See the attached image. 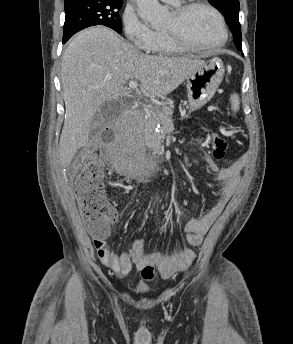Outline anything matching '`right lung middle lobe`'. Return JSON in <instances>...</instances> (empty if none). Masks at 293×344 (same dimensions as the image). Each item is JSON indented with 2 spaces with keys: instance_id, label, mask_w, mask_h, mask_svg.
Masks as SVG:
<instances>
[{
  "instance_id": "obj_1",
  "label": "right lung middle lobe",
  "mask_w": 293,
  "mask_h": 344,
  "mask_svg": "<svg viewBox=\"0 0 293 344\" xmlns=\"http://www.w3.org/2000/svg\"><path fill=\"white\" fill-rule=\"evenodd\" d=\"M123 0H78L65 4L63 43L76 32L94 25H104L121 33L119 15Z\"/></svg>"
}]
</instances>
